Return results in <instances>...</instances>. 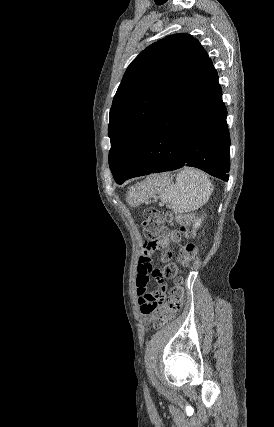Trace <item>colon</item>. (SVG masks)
<instances>
[{
  "label": "colon",
  "mask_w": 274,
  "mask_h": 427,
  "mask_svg": "<svg viewBox=\"0 0 274 427\" xmlns=\"http://www.w3.org/2000/svg\"><path fill=\"white\" fill-rule=\"evenodd\" d=\"M169 222L174 221L172 216H168ZM177 220V219H176ZM183 219H178L181 222ZM142 235L143 236H159L161 243L167 242V247L172 246L181 240V233L179 231L168 230L163 222L160 212L156 208H149L144 213V220L142 222ZM198 256V247L194 241H187L181 248L178 254V259L181 261V266L188 264ZM180 266V267H181ZM185 287L181 276H177V280H174V285L169 291V298L167 305L160 306L157 311L151 312L153 328L154 330L160 331L167 328V321L164 318H172L174 310L178 311L185 299Z\"/></svg>",
  "instance_id": "5ec220e1"
}]
</instances>
